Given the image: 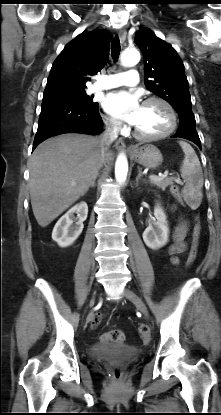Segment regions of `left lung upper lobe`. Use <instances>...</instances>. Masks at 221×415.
<instances>
[{
    "label": "left lung upper lobe",
    "mask_w": 221,
    "mask_h": 415,
    "mask_svg": "<svg viewBox=\"0 0 221 415\" xmlns=\"http://www.w3.org/2000/svg\"><path fill=\"white\" fill-rule=\"evenodd\" d=\"M135 43L144 56V83L179 114L180 122H195L185 68L175 49L148 28H141Z\"/></svg>",
    "instance_id": "5c2ea615"
}]
</instances>
